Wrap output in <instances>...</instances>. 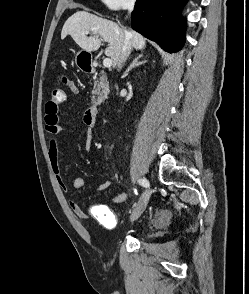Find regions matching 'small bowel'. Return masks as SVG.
Segmentation results:
<instances>
[{"label": "small bowel", "instance_id": "small-bowel-1", "mask_svg": "<svg viewBox=\"0 0 249 294\" xmlns=\"http://www.w3.org/2000/svg\"><path fill=\"white\" fill-rule=\"evenodd\" d=\"M62 81L73 94H78L79 89L75 81L66 76L62 77ZM44 123L46 131L51 135L49 140L48 158L52 172L59 188L67 193L69 191V186L62 175L59 163L60 144L58 135L62 130L59 124V105L54 106L49 102L46 104ZM83 123L86 127L85 149L87 152H92V130L95 127V121L89 118L87 111H85L83 114ZM72 185L77 190L86 188L85 181L79 176L73 178ZM110 186V182H103L99 185L97 190L104 191L107 190ZM126 199L127 193L125 191H120L112 198L111 203L113 205H120L123 204ZM69 207L74 215L79 219L87 220L93 218L106 229H113L117 225V215L111 211L107 204L91 203L88 208L85 209L75 201L70 200Z\"/></svg>", "mask_w": 249, "mask_h": 294}]
</instances>
